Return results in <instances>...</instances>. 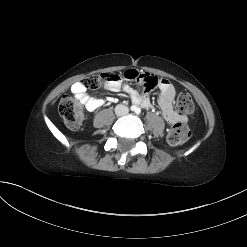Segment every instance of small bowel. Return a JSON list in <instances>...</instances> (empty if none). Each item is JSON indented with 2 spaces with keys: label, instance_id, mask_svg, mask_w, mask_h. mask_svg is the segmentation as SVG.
Masks as SVG:
<instances>
[{
  "label": "small bowel",
  "instance_id": "1",
  "mask_svg": "<svg viewBox=\"0 0 247 247\" xmlns=\"http://www.w3.org/2000/svg\"><path fill=\"white\" fill-rule=\"evenodd\" d=\"M130 83L144 84L145 92H138L128 85ZM103 85L105 89L112 92H125L129 95L134 104L140 105L144 108L151 105L148 97L149 90L157 87L159 90L158 103L166 122L170 125H175L179 121L183 120V118L173 109V101L176 91L173 84L167 79L158 78L147 72H139L136 69H124L119 73L113 72L109 74L108 77L105 78ZM152 85L154 86L151 87ZM71 93L77 100L85 105L88 111H95L102 107L107 101H114L113 98L104 99L88 94L86 88L81 82H76L71 86Z\"/></svg>",
  "mask_w": 247,
  "mask_h": 247
}]
</instances>
